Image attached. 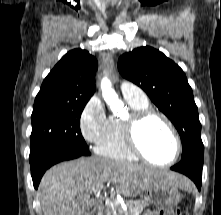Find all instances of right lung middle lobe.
<instances>
[{
	"instance_id": "right-lung-middle-lobe-1",
	"label": "right lung middle lobe",
	"mask_w": 221,
	"mask_h": 215,
	"mask_svg": "<svg viewBox=\"0 0 221 215\" xmlns=\"http://www.w3.org/2000/svg\"><path fill=\"white\" fill-rule=\"evenodd\" d=\"M87 102L34 104L29 161L61 147L88 148L80 130L81 113Z\"/></svg>"
}]
</instances>
